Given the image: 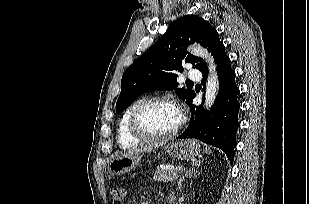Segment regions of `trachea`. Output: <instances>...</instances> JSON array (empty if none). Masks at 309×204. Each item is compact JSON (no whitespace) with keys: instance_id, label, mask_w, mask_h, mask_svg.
Returning a JSON list of instances; mask_svg holds the SVG:
<instances>
[{"instance_id":"obj_1","label":"trachea","mask_w":309,"mask_h":204,"mask_svg":"<svg viewBox=\"0 0 309 204\" xmlns=\"http://www.w3.org/2000/svg\"><path fill=\"white\" fill-rule=\"evenodd\" d=\"M186 83H187V84H193V82H192V81H186Z\"/></svg>"}]
</instances>
